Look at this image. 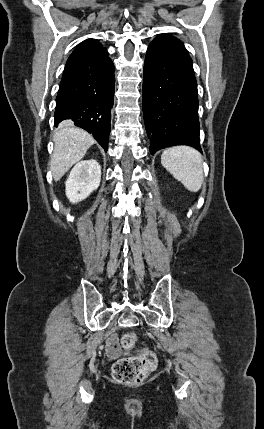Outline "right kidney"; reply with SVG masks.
<instances>
[{
  "instance_id": "obj_1",
  "label": "right kidney",
  "mask_w": 264,
  "mask_h": 429,
  "mask_svg": "<svg viewBox=\"0 0 264 429\" xmlns=\"http://www.w3.org/2000/svg\"><path fill=\"white\" fill-rule=\"evenodd\" d=\"M100 181L99 163L94 159L80 161L73 167L66 181V196L71 203H78L96 190Z\"/></svg>"
}]
</instances>
